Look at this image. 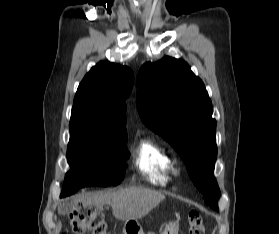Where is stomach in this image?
Returning a JSON list of instances; mask_svg holds the SVG:
<instances>
[{"mask_svg":"<svg viewBox=\"0 0 279 234\" xmlns=\"http://www.w3.org/2000/svg\"><path fill=\"white\" fill-rule=\"evenodd\" d=\"M179 226L176 222H169L161 234H178ZM123 234H144L137 220H128L123 227Z\"/></svg>","mask_w":279,"mask_h":234,"instance_id":"stomach-1","label":"stomach"}]
</instances>
